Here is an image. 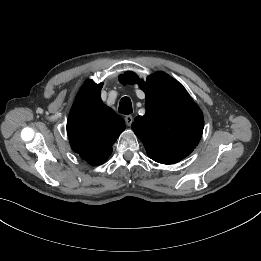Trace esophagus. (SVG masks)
<instances>
[{"instance_id": "esophagus-1", "label": "esophagus", "mask_w": 261, "mask_h": 261, "mask_svg": "<svg viewBox=\"0 0 261 261\" xmlns=\"http://www.w3.org/2000/svg\"><path fill=\"white\" fill-rule=\"evenodd\" d=\"M124 120H125L126 125L130 126L133 122V117L131 115H127V116H125Z\"/></svg>"}]
</instances>
